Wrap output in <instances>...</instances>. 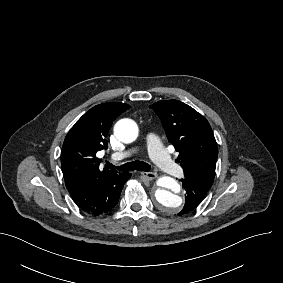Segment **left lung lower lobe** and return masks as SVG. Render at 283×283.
I'll return each mask as SVG.
<instances>
[{
  "instance_id": "1",
  "label": "left lung lower lobe",
  "mask_w": 283,
  "mask_h": 283,
  "mask_svg": "<svg viewBox=\"0 0 283 283\" xmlns=\"http://www.w3.org/2000/svg\"><path fill=\"white\" fill-rule=\"evenodd\" d=\"M181 181L187 196L183 209L178 213L179 216L193 212L213 184L212 180L197 175H185Z\"/></svg>"
}]
</instances>
